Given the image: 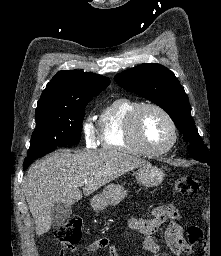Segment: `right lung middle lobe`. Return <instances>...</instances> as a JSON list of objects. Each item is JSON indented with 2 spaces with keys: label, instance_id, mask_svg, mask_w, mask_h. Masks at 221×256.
Segmentation results:
<instances>
[{
  "label": "right lung middle lobe",
  "instance_id": "right-lung-middle-lobe-1",
  "mask_svg": "<svg viewBox=\"0 0 221 256\" xmlns=\"http://www.w3.org/2000/svg\"><path fill=\"white\" fill-rule=\"evenodd\" d=\"M90 101L91 98L81 99L76 107L36 112V128L24 160V170L34 159L57 147L79 143L85 107Z\"/></svg>",
  "mask_w": 221,
  "mask_h": 256
}]
</instances>
